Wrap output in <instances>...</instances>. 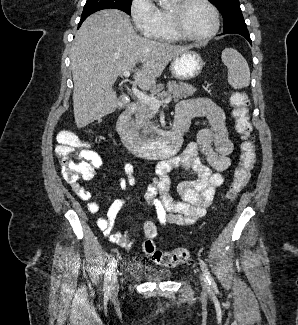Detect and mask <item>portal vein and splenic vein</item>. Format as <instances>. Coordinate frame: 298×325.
Returning a JSON list of instances; mask_svg holds the SVG:
<instances>
[{"label":"portal vein and splenic vein","instance_id":"portal-vein-and-splenic-vein-1","mask_svg":"<svg viewBox=\"0 0 298 325\" xmlns=\"http://www.w3.org/2000/svg\"><path fill=\"white\" fill-rule=\"evenodd\" d=\"M123 76H125V78H128V76H130V70H126V72H123ZM131 90L133 94L137 96L140 102H145V104H149V106H151L154 112H158L161 104H168V102H171L172 100L171 96H166V98H163V100H159L157 96H149V94H145V92H142V90H139V88H136V86H132Z\"/></svg>","mask_w":298,"mask_h":325}]
</instances>
